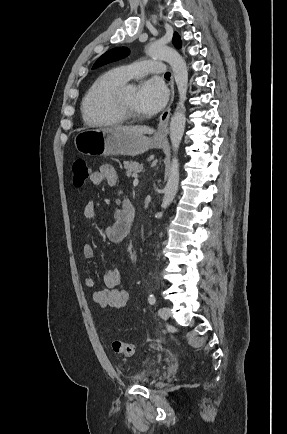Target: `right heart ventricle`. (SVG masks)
<instances>
[{"label":"right heart ventricle","instance_id":"right-heart-ventricle-1","mask_svg":"<svg viewBox=\"0 0 287 434\" xmlns=\"http://www.w3.org/2000/svg\"><path fill=\"white\" fill-rule=\"evenodd\" d=\"M119 69H111L97 77L90 85L81 101V114L88 125H116L124 120L113 110V92L125 84Z\"/></svg>","mask_w":287,"mask_h":434}]
</instances>
